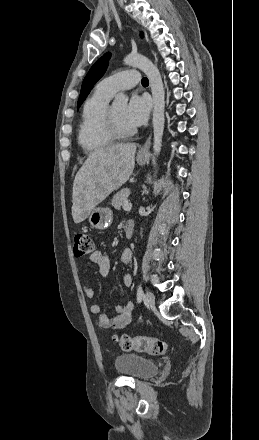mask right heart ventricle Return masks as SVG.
<instances>
[{
    "label": "right heart ventricle",
    "mask_w": 259,
    "mask_h": 440,
    "mask_svg": "<svg viewBox=\"0 0 259 440\" xmlns=\"http://www.w3.org/2000/svg\"><path fill=\"white\" fill-rule=\"evenodd\" d=\"M111 97V94L96 88L83 105L77 140L86 153L101 151L114 141L106 129V113Z\"/></svg>",
    "instance_id": "obj_1"
}]
</instances>
